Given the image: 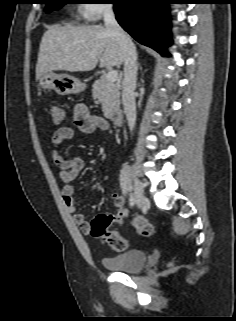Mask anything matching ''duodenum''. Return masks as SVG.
Instances as JSON below:
<instances>
[{"label":"duodenum","mask_w":236,"mask_h":321,"mask_svg":"<svg viewBox=\"0 0 236 321\" xmlns=\"http://www.w3.org/2000/svg\"><path fill=\"white\" fill-rule=\"evenodd\" d=\"M113 124L117 127H120L124 123V114L121 111L114 112L111 116Z\"/></svg>","instance_id":"obj_1"}]
</instances>
